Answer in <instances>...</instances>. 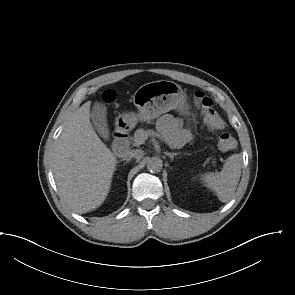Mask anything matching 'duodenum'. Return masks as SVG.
<instances>
[{
    "label": "duodenum",
    "instance_id": "410a0bca",
    "mask_svg": "<svg viewBox=\"0 0 295 295\" xmlns=\"http://www.w3.org/2000/svg\"><path fill=\"white\" fill-rule=\"evenodd\" d=\"M129 149V135L128 132L122 128H116L113 136V152L119 157H123L128 153Z\"/></svg>",
    "mask_w": 295,
    "mask_h": 295
}]
</instances>
